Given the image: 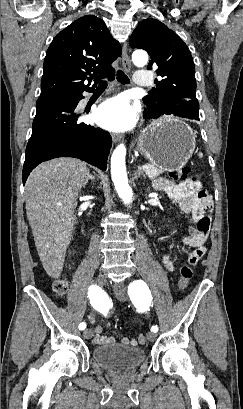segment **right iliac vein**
Masks as SVG:
<instances>
[{"mask_svg": "<svg viewBox=\"0 0 243 409\" xmlns=\"http://www.w3.org/2000/svg\"><path fill=\"white\" fill-rule=\"evenodd\" d=\"M106 283H107V278H106L105 275L99 274V275L96 277V284H97V285L103 287ZM83 336H84V338H86V339H90V338L93 336V331H92L91 329H86V330L83 332Z\"/></svg>", "mask_w": 243, "mask_h": 409, "instance_id": "right-iliac-vein-1", "label": "right iliac vein"}]
</instances>
